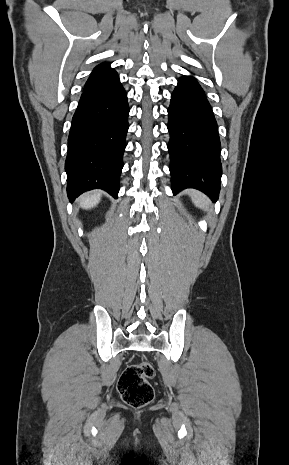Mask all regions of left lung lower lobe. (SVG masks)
Listing matches in <instances>:
<instances>
[{
    "mask_svg": "<svg viewBox=\"0 0 289 465\" xmlns=\"http://www.w3.org/2000/svg\"><path fill=\"white\" fill-rule=\"evenodd\" d=\"M168 116L173 193L195 188L216 202L222 175L220 139L211 106L195 78L178 80Z\"/></svg>",
    "mask_w": 289,
    "mask_h": 465,
    "instance_id": "left-lung-lower-lobe-1",
    "label": "left lung lower lobe"
}]
</instances>
